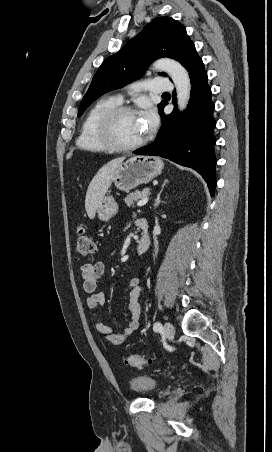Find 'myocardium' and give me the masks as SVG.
I'll list each match as a JSON object with an SVG mask.
<instances>
[{"mask_svg": "<svg viewBox=\"0 0 272 452\" xmlns=\"http://www.w3.org/2000/svg\"><path fill=\"white\" fill-rule=\"evenodd\" d=\"M136 110L131 106L116 105L107 109L98 119L97 132L109 150L113 151H130L137 149L144 145L148 137L145 135L142 139L131 143L124 144L118 141L115 137V122L117 118L122 114H135Z\"/></svg>", "mask_w": 272, "mask_h": 452, "instance_id": "myocardium-1", "label": "myocardium"}]
</instances>
